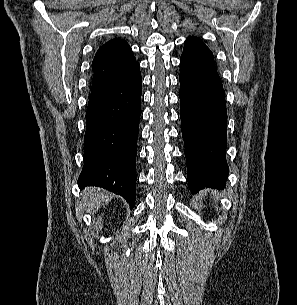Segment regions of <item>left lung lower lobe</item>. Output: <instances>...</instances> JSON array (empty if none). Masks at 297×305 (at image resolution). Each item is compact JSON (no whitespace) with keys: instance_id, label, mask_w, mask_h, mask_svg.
I'll return each instance as SVG.
<instances>
[{"instance_id":"1","label":"left lung lower lobe","mask_w":297,"mask_h":305,"mask_svg":"<svg viewBox=\"0 0 297 305\" xmlns=\"http://www.w3.org/2000/svg\"><path fill=\"white\" fill-rule=\"evenodd\" d=\"M180 117L187 177L192 193L224 188L228 165L225 92L216 68L186 70L180 75Z\"/></svg>"}]
</instances>
